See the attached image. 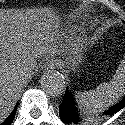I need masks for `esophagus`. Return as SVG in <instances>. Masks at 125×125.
I'll use <instances>...</instances> for the list:
<instances>
[{
    "label": "esophagus",
    "mask_w": 125,
    "mask_h": 125,
    "mask_svg": "<svg viewBox=\"0 0 125 125\" xmlns=\"http://www.w3.org/2000/svg\"><path fill=\"white\" fill-rule=\"evenodd\" d=\"M52 69H53V68H52V66H50V65H46V66H45V70H49V71H50V70H52Z\"/></svg>",
    "instance_id": "esophagus-1"
}]
</instances>
